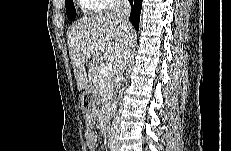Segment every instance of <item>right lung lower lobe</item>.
Masks as SVG:
<instances>
[{
    "instance_id": "98d812e1",
    "label": "right lung lower lobe",
    "mask_w": 231,
    "mask_h": 151,
    "mask_svg": "<svg viewBox=\"0 0 231 151\" xmlns=\"http://www.w3.org/2000/svg\"><path fill=\"white\" fill-rule=\"evenodd\" d=\"M131 5L130 21L136 30L139 29L140 12L142 8V0H129Z\"/></svg>"
}]
</instances>
